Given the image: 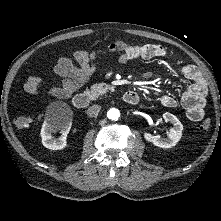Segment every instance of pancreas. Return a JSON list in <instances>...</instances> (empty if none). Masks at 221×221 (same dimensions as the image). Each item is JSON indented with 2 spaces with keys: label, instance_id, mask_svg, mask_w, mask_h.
<instances>
[{
  "label": "pancreas",
  "instance_id": "pancreas-1",
  "mask_svg": "<svg viewBox=\"0 0 221 221\" xmlns=\"http://www.w3.org/2000/svg\"><path fill=\"white\" fill-rule=\"evenodd\" d=\"M110 87L106 85L105 83H99V84H94L91 86L90 89H86L84 92L91 100H96L99 98L102 94H105Z\"/></svg>",
  "mask_w": 221,
  "mask_h": 221
}]
</instances>
